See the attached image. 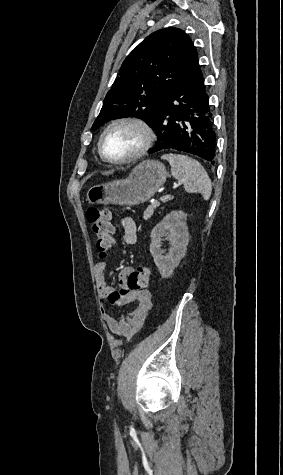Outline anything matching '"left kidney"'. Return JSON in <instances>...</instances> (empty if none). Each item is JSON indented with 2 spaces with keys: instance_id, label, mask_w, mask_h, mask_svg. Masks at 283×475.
<instances>
[{
  "instance_id": "obj_1",
  "label": "left kidney",
  "mask_w": 283,
  "mask_h": 475,
  "mask_svg": "<svg viewBox=\"0 0 283 475\" xmlns=\"http://www.w3.org/2000/svg\"><path fill=\"white\" fill-rule=\"evenodd\" d=\"M187 214L184 212H170L166 218L159 222L151 232L150 251L154 261L161 273V277H171L175 267L179 265L180 259L184 257L189 241L188 226L186 224ZM162 238L168 239L169 251L161 249ZM165 253V255H162Z\"/></svg>"
}]
</instances>
